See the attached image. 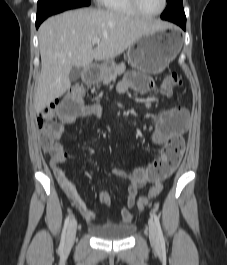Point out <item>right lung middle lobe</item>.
<instances>
[{
  "label": "right lung middle lobe",
  "mask_w": 227,
  "mask_h": 265,
  "mask_svg": "<svg viewBox=\"0 0 227 265\" xmlns=\"http://www.w3.org/2000/svg\"><path fill=\"white\" fill-rule=\"evenodd\" d=\"M90 0H38L36 21L42 22L48 16L64 10L89 6Z\"/></svg>",
  "instance_id": "right-lung-middle-lobe-1"
}]
</instances>
